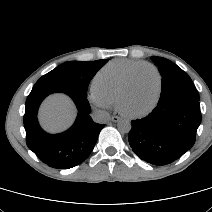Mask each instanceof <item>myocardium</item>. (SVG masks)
<instances>
[{
	"instance_id": "obj_1",
	"label": "myocardium",
	"mask_w": 212,
	"mask_h": 212,
	"mask_svg": "<svg viewBox=\"0 0 212 212\" xmlns=\"http://www.w3.org/2000/svg\"><path fill=\"white\" fill-rule=\"evenodd\" d=\"M142 68H150L152 69L157 78H158V91H157V95H156V98L154 100V102L152 103V105L146 109L145 111L143 112H140V113H127L125 112L123 109H122V100L126 94V92L128 91L132 81H133V78L135 76V74ZM162 88H163V77H162V74L161 72L159 71V69L149 63V62H144L138 66H136L135 68H133L129 74L127 75L125 81L123 82L120 90H119V93L117 95V99H116V106H117V109L125 116L129 117V118H141V117H144L146 116L147 114H149L158 104L159 100H160V97H161V94H162Z\"/></svg>"
}]
</instances>
